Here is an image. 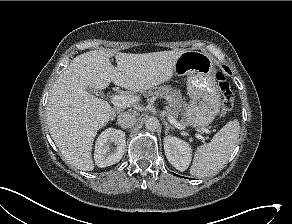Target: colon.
I'll return each instance as SVG.
<instances>
[{"instance_id":"colon-1","label":"colon","mask_w":292,"mask_h":224,"mask_svg":"<svg viewBox=\"0 0 292 224\" xmlns=\"http://www.w3.org/2000/svg\"><path fill=\"white\" fill-rule=\"evenodd\" d=\"M216 80L222 94V101L220 105V116L226 115L233 106L234 96L231 85L224 73L218 71L216 73Z\"/></svg>"}]
</instances>
